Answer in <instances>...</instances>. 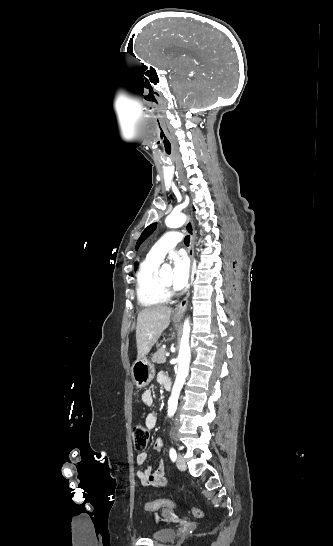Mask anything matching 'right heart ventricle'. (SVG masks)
<instances>
[{
    "label": "right heart ventricle",
    "instance_id": "right-heart-ventricle-1",
    "mask_svg": "<svg viewBox=\"0 0 333 546\" xmlns=\"http://www.w3.org/2000/svg\"><path fill=\"white\" fill-rule=\"evenodd\" d=\"M159 261L148 257L141 263L136 282V294L139 303L143 307H154L164 304L169 297L166 296L158 283Z\"/></svg>",
    "mask_w": 333,
    "mask_h": 546
}]
</instances>
